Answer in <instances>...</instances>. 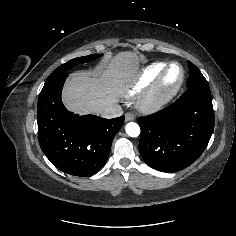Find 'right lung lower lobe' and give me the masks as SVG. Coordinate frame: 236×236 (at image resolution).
<instances>
[{
  "label": "right lung lower lobe",
  "instance_id": "98d812e1",
  "mask_svg": "<svg viewBox=\"0 0 236 236\" xmlns=\"http://www.w3.org/2000/svg\"><path fill=\"white\" fill-rule=\"evenodd\" d=\"M67 73L46 80L38 97V140L47 158L61 171L80 177L97 173L105 164L124 116L104 119L79 116L65 109L61 90Z\"/></svg>",
  "mask_w": 236,
  "mask_h": 236
}]
</instances>
